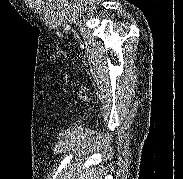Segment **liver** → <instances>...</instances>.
Segmentation results:
<instances>
[{"label": "liver", "instance_id": "1", "mask_svg": "<svg viewBox=\"0 0 183 179\" xmlns=\"http://www.w3.org/2000/svg\"><path fill=\"white\" fill-rule=\"evenodd\" d=\"M78 179H101L99 178V176L97 175V173L94 171V169H88L86 171H84L83 173L77 174ZM65 179H76L75 176H68Z\"/></svg>", "mask_w": 183, "mask_h": 179}]
</instances>
